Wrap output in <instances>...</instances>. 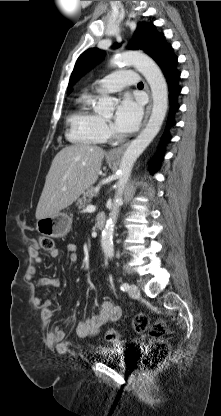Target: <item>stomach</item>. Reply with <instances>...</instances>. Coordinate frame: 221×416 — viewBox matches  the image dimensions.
<instances>
[{
	"label": "stomach",
	"instance_id": "stomach-1",
	"mask_svg": "<svg viewBox=\"0 0 221 416\" xmlns=\"http://www.w3.org/2000/svg\"><path fill=\"white\" fill-rule=\"evenodd\" d=\"M108 162L114 160L108 159ZM72 220L65 213L39 219L36 223V230L43 236L51 238H60L65 236L71 228Z\"/></svg>",
	"mask_w": 221,
	"mask_h": 416
}]
</instances>
